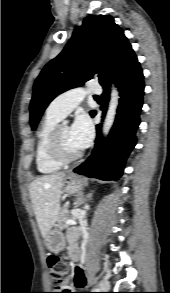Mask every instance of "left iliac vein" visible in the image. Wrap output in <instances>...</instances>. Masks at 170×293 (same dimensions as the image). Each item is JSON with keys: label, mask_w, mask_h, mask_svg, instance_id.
Segmentation results:
<instances>
[{"label": "left iliac vein", "mask_w": 170, "mask_h": 293, "mask_svg": "<svg viewBox=\"0 0 170 293\" xmlns=\"http://www.w3.org/2000/svg\"><path fill=\"white\" fill-rule=\"evenodd\" d=\"M101 286L104 288V290L110 289V282L108 280L101 281Z\"/></svg>", "instance_id": "1"}]
</instances>
